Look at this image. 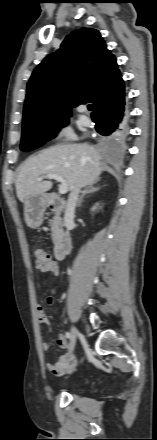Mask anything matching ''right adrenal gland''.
<instances>
[{"label":"right adrenal gland","mask_w":157,"mask_h":440,"mask_svg":"<svg viewBox=\"0 0 157 440\" xmlns=\"http://www.w3.org/2000/svg\"><path fill=\"white\" fill-rule=\"evenodd\" d=\"M96 183H97V182L92 183V184H89V185L84 189V191H82V195L80 196V198H79V200H78V202H77V207H80V206H81L82 201H83V197H84L86 194L94 193V192L100 190V187H95V184H96Z\"/></svg>","instance_id":"obj_1"}]
</instances>
